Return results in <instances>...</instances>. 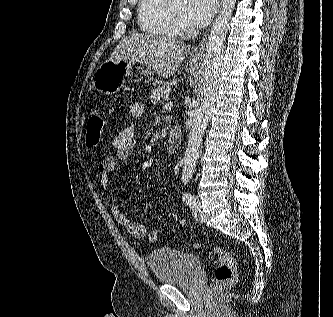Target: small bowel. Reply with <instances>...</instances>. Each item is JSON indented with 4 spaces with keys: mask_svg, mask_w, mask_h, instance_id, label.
I'll list each match as a JSON object with an SVG mask.
<instances>
[{
    "mask_svg": "<svg viewBox=\"0 0 333 317\" xmlns=\"http://www.w3.org/2000/svg\"><path fill=\"white\" fill-rule=\"evenodd\" d=\"M145 104L142 101L134 102L128 112L129 123L111 141L115 150L114 155L105 156L98 165V184L103 192L114 221L124 227L129 234L136 238H142L147 234V227L144 223L128 218L109 194L110 176L117 168L119 161L127 160L135 150V122L142 116Z\"/></svg>",
    "mask_w": 333,
    "mask_h": 317,
    "instance_id": "obj_1",
    "label": "small bowel"
}]
</instances>
